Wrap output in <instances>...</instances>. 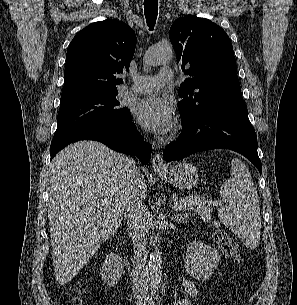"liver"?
I'll list each match as a JSON object with an SVG mask.
<instances>
[{
    "mask_svg": "<svg viewBox=\"0 0 297 305\" xmlns=\"http://www.w3.org/2000/svg\"><path fill=\"white\" fill-rule=\"evenodd\" d=\"M127 160L99 142L78 141L49 165L52 264L60 285L71 281L101 242L118 230L125 210ZM139 189L145 198L144 177Z\"/></svg>",
    "mask_w": 297,
    "mask_h": 305,
    "instance_id": "6515ba94",
    "label": "liver"
}]
</instances>
